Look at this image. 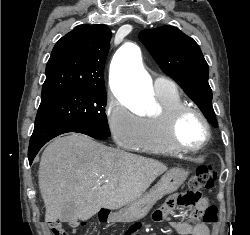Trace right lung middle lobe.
I'll return each mask as SVG.
<instances>
[{"label": "right lung middle lobe", "instance_id": "dd1d6c3e", "mask_svg": "<svg viewBox=\"0 0 250 235\" xmlns=\"http://www.w3.org/2000/svg\"><path fill=\"white\" fill-rule=\"evenodd\" d=\"M105 88L68 90L42 97L35 125L66 122L110 136Z\"/></svg>", "mask_w": 250, "mask_h": 235}]
</instances>
